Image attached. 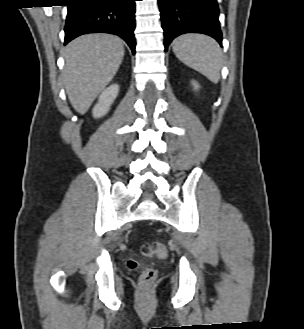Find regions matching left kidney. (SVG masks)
I'll return each mask as SVG.
<instances>
[{"instance_id": "1", "label": "left kidney", "mask_w": 304, "mask_h": 329, "mask_svg": "<svg viewBox=\"0 0 304 329\" xmlns=\"http://www.w3.org/2000/svg\"><path fill=\"white\" fill-rule=\"evenodd\" d=\"M192 85L194 86L195 90L199 89V87H200L196 81H192Z\"/></svg>"}]
</instances>
